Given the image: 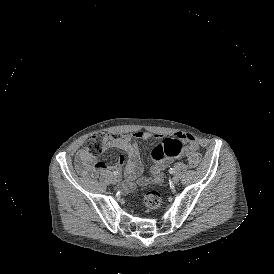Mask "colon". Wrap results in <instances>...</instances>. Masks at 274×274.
I'll return each instance as SVG.
<instances>
[{"label":"colon","mask_w":274,"mask_h":274,"mask_svg":"<svg viewBox=\"0 0 274 274\" xmlns=\"http://www.w3.org/2000/svg\"><path fill=\"white\" fill-rule=\"evenodd\" d=\"M104 149L103 134L91 135L84 142V151L90 156H99ZM203 156L200 153H193L189 158V165L192 168H199L203 163ZM161 198L158 192L154 190L147 191L141 198L140 204L143 207L156 209L159 207Z\"/></svg>","instance_id":"1"}]
</instances>
